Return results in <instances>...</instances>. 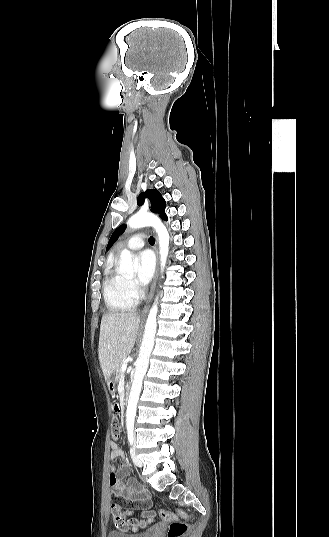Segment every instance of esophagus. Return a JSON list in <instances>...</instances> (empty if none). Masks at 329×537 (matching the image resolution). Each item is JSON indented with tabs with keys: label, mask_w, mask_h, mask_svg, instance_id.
<instances>
[{
	"label": "esophagus",
	"mask_w": 329,
	"mask_h": 537,
	"mask_svg": "<svg viewBox=\"0 0 329 537\" xmlns=\"http://www.w3.org/2000/svg\"><path fill=\"white\" fill-rule=\"evenodd\" d=\"M155 253H156V259H157V267H156L154 279H153V282H152V285H151V290H150V293H149V296H148V299H147V303H146V305H145V307L143 309V312H142L143 314H145L148 311L149 304H150V302L152 300V297H153V294H154L156 280H157V276H158V260H159V256H158V238H157V236H156Z\"/></svg>",
	"instance_id": "obj_1"
}]
</instances>
